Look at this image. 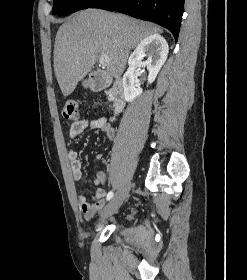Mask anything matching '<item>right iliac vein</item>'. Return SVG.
<instances>
[{
  "label": "right iliac vein",
  "instance_id": "obj_1",
  "mask_svg": "<svg viewBox=\"0 0 247 280\" xmlns=\"http://www.w3.org/2000/svg\"><path fill=\"white\" fill-rule=\"evenodd\" d=\"M129 188H130L129 185L123 186L115 193L111 201L106 205V207L101 212V217H100L101 221L113 215L119 209L124 199L128 195Z\"/></svg>",
  "mask_w": 247,
  "mask_h": 280
}]
</instances>
